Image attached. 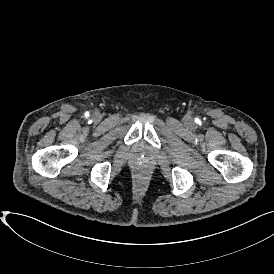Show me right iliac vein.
Segmentation results:
<instances>
[{"instance_id":"right-iliac-vein-1","label":"right iliac vein","mask_w":274,"mask_h":274,"mask_svg":"<svg viewBox=\"0 0 274 274\" xmlns=\"http://www.w3.org/2000/svg\"><path fill=\"white\" fill-rule=\"evenodd\" d=\"M92 119L94 122L98 123L102 119L101 113L99 111H95L92 115Z\"/></svg>"}]
</instances>
